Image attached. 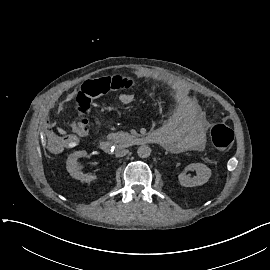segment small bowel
Here are the masks:
<instances>
[{"instance_id":"small-bowel-1","label":"small bowel","mask_w":270,"mask_h":270,"mask_svg":"<svg viewBox=\"0 0 270 270\" xmlns=\"http://www.w3.org/2000/svg\"><path fill=\"white\" fill-rule=\"evenodd\" d=\"M136 74L145 79L164 85L178 103L185 105L194 103L189 88L175 77L160 71L142 68ZM122 104H131L134 100L132 93H123L119 96ZM208 122L199 106H195L187 118H172L163 123L156 133L159 135L162 146L172 153L184 151H201L205 147V136ZM45 137L50 141L51 150L61 153L65 149L77 145L76 137L71 132H64L58 125H50L45 130Z\"/></svg>"}]
</instances>
